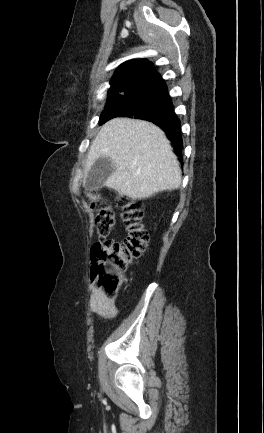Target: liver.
I'll return each instance as SVG.
<instances>
[{"label":"liver","mask_w":264,"mask_h":433,"mask_svg":"<svg viewBox=\"0 0 264 433\" xmlns=\"http://www.w3.org/2000/svg\"><path fill=\"white\" fill-rule=\"evenodd\" d=\"M101 156L115 165L105 185L131 199L149 198L181 185V169L169 140L147 121L120 117L105 123L89 148L85 178Z\"/></svg>","instance_id":"obj_1"}]
</instances>
